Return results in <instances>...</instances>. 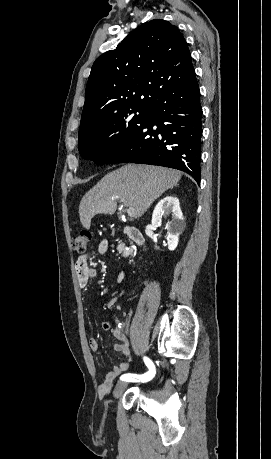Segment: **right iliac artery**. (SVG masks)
Here are the masks:
<instances>
[{"label":"right iliac artery","instance_id":"82829eb1","mask_svg":"<svg viewBox=\"0 0 271 459\" xmlns=\"http://www.w3.org/2000/svg\"><path fill=\"white\" fill-rule=\"evenodd\" d=\"M121 323L118 324V327H121L120 326ZM144 362L145 364L147 365V367L149 369H147V374H154V371H156V365L155 363H153L149 358L147 357H144ZM148 376V375H146ZM144 377V374L143 373H139L138 375L137 374H123L120 379L123 380V381H129V382H134V381H137L138 379H141Z\"/></svg>","mask_w":271,"mask_h":459}]
</instances>
